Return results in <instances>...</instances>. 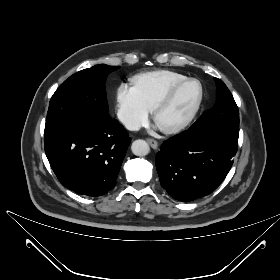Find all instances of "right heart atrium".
Returning a JSON list of instances; mask_svg holds the SVG:
<instances>
[{"instance_id":"d8ad5b80","label":"right heart atrium","mask_w":280,"mask_h":280,"mask_svg":"<svg viewBox=\"0 0 280 280\" xmlns=\"http://www.w3.org/2000/svg\"><path fill=\"white\" fill-rule=\"evenodd\" d=\"M116 100L118 118L126 128L136 130L147 123L150 110L133 86L121 83L117 88Z\"/></svg>"}]
</instances>
